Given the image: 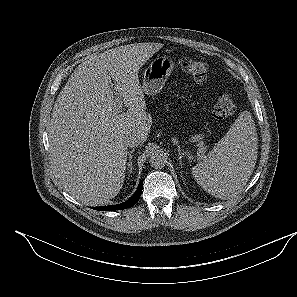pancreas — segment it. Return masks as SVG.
I'll return each instance as SVG.
<instances>
[{"label":"pancreas","mask_w":297,"mask_h":297,"mask_svg":"<svg viewBox=\"0 0 297 297\" xmlns=\"http://www.w3.org/2000/svg\"><path fill=\"white\" fill-rule=\"evenodd\" d=\"M200 138H201V136L197 135V136H194L192 139H193L194 141H199Z\"/></svg>","instance_id":"1"}]
</instances>
